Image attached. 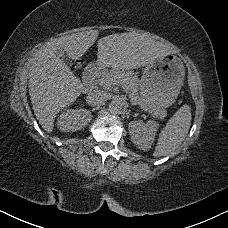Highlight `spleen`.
<instances>
[{
    "label": "spleen",
    "instance_id": "3e777b00",
    "mask_svg": "<svg viewBox=\"0 0 228 228\" xmlns=\"http://www.w3.org/2000/svg\"><path fill=\"white\" fill-rule=\"evenodd\" d=\"M191 123V107L184 103L160 131L153 157H175L180 152V146L188 134Z\"/></svg>",
    "mask_w": 228,
    "mask_h": 228
}]
</instances>
